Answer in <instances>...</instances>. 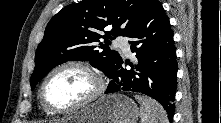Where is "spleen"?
Listing matches in <instances>:
<instances>
[{
  "label": "spleen",
  "instance_id": "1",
  "mask_svg": "<svg viewBox=\"0 0 221 123\" xmlns=\"http://www.w3.org/2000/svg\"><path fill=\"white\" fill-rule=\"evenodd\" d=\"M135 99L140 104L141 123H169L165 110L157 101L140 95Z\"/></svg>",
  "mask_w": 221,
  "mask_h": 123
}]
</instances>
